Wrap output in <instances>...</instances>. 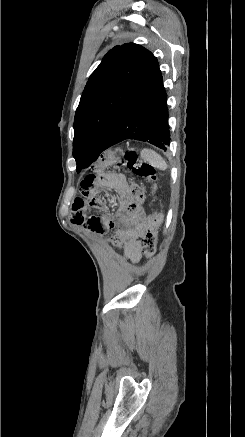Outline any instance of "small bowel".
Instances as JSON below:
<instances>
[{"label": "small bowel", "instance_id": "1", "mask_svg": "<svg viewBox=\"0 0 245 437\" xmlns=\"http://www.w3.org/2000/svg\"><path fill=\"white\" fill-rule=\"evenodd\" d=\"M100 156L96 166H91L90 171H86L85 178L81 181L82 196L75 198L72 203V221L81 229L96 234L102 233L104 228L114 230L109 240L110 243L121 250L129 261L136 263L141 258L140 239L145 233L146 219L142 208L132 209L128 206L130 188L125 180L122 177L105 180V183L118 193L116 218L109 214L100 217L87 213L86 198L89 199L92 209H98L103 205L102 198L92 193L96 189L95 182L99 180L100 175H105L106 171H110L115 160V152L114 150H101Z\"/></svg>", "mask_w": 245, "mask_h": 437}]
</instances>
